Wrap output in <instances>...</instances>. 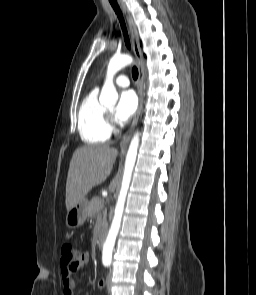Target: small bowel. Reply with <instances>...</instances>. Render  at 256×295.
<instances>
[{
	"label": "small bowel",
	"instance_id": "1",
	"mask_svg": "<svg viewBox=\"0 0 256 295\" xmlns=\"http://www.w3.org/2000/svg\"><path fill=\"white\" fill-rule=\"evenodd\" d=\"M89 261V253L83 252L79 256V260L77 263V266L74 269H62L61 271V280H62V286H63V295H73V290L75 288V282L73 280L72 274L75 271L83 270L86 266V264ZM105 283L103 280H98L96 282V288L99 291H103L105 289Z\"/></svg>",
	"mask_w": 256,
	"mask_h": 295
}]
</instances>
